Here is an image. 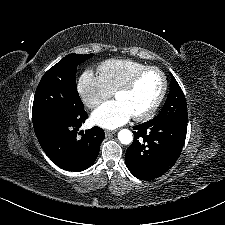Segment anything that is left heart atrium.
<instances>
[{"instance_id":"left-heart-atrium-1","label":"left heart atrium","mask_w":225,"mask_h":225,"mask_svg":"<svg viewBox=\"0 0 225 225\" xmlns=\"http://www.w3.org/2000/svg\"><path fill=\"white\" fill-rule=\"evenodd\" d=\"M132 114L120 101L106 102L92 114V120L95 124L106 128L114 129L127 123Z\"/></svg>"}]
</instances>
